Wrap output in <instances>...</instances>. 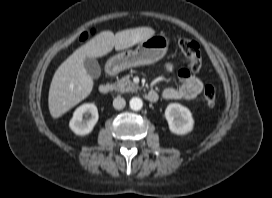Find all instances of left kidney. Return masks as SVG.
Masks as SVG:
<instances>
[{
  "label": "left kidney",
  "mask_w": 272,
  "mask_h": 198,
  "mask_svg": "<svg viewBox=\"0 0 272 198\" xmlns=\"http://www.w3.org/2000/svg\"><path fill=\"white\" fill-rule=\"evenodd\" d=\"M169 129L176 135H185L192 131L194 119L190 110L181 104L171 103L165 110Z\"/></svg>",
  "instance_id": "left-kidney-1"
}]
</instances>
